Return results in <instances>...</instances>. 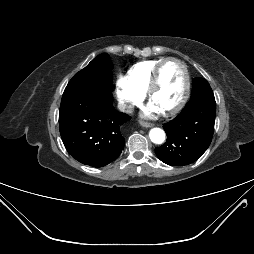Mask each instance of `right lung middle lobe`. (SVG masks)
Listing matches in <instances>:
<instances>
[{
    "mask_svg": "<svg viewBox=\"0 0 254 254\" xmlns=\"http://www.w3.org/2000/svg\"><path fill=\"white\" fill-rule=\"evenodd\" d=\"M112 69L109 55L102 53L73 76L65 91L84 89L99 95L110 93L113 88Z\"/></svg>",
    "mask_w": 254,
    "mask_h": 254,
    "instance_id": "1",
    "label": "right lung middle lobe"
}]
</instances>
